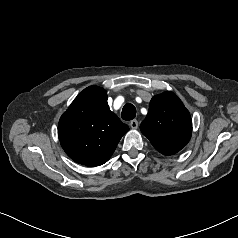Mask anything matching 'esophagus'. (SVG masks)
I'll return each instance as SVG.
<instances>
[{"mask_svg":"<svg viewBox=\"0 0 238 238\" xmlns=\"http://www.w3.org/2000/svg\"><path fill=\"white\" fill-rule=\"evenodd\" d=\"M130 127H131L132 129H137V128H138V121H137L136 119L132 120V121L130 122Z\"/></svg>","mask_w":238,"mask_h":238,"instance_id":"1","label":"esophagus"}]
</instances>
